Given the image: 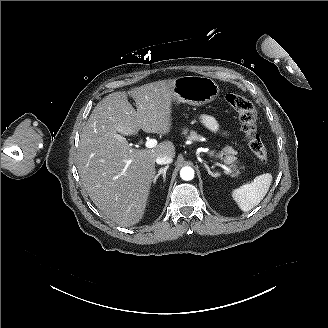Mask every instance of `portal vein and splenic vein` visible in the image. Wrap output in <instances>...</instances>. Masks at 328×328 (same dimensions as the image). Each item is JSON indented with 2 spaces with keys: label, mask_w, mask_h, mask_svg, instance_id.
Masks as SVG:
<instances>
[{
  "label": "portal vein and splenic vein",
  "mask_w": 328,
  "mask_h": 328,
  "mask_svg": "<svg viewBox=\"0 0 328 328\" xmlns=\"http://www.w3.org/2000/svg\"><path fill=\"white\" fill-rule=\"evenodd\" d=\"M157 145V140L156 139H147L145 146L147 148H154ZM218 166L223 168L224 170L231 172L230 167L226 166V165H222L221 163H218Z\"/></svg>",
  "instance_id": "obj_1"
}]
</instances>
